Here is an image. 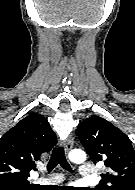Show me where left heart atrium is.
Instances as JSON below:
<instances>
[{"mask_svg":"<svg viewBox=\"0 0 135 190\" xmlns=\"http://www.w3.org/2000/svg\"><path fill=\"white\" fill-rule=\"evenodd\" d=\"M66 190H75L73 187H70V188H68V189H66Z\"/></svg>","mask_w":135,"mask_h":190,"instance_id":"1","label":"left heart atrium"}]
</instances>
